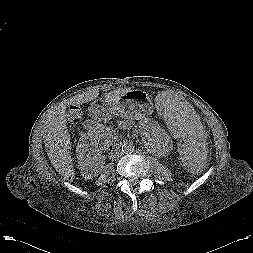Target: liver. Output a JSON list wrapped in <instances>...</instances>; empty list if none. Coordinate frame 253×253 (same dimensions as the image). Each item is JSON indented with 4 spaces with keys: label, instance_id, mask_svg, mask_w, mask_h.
Wrapping results in <instances>:
<instances>
[{
    "label": "liver",
    "instance_id": "obj_1",
    "mask_svg": "<svg viewBox=\"0 0 253 253\" xmlns=\"http://www.w3.org/2000/svg\"><path fill=\"white\" fill-rule=\"evenodd\" d=\"M131 90V87L118 88L106 93L104 99H119ZM98 95L99 91L93 89L70 98L67 103L68 105H80L96 99ZM68 105H59L48 116L44 127V141L47 147L48 157L55 170L65 179L72 182L75 178V171L70 153L71 139L66 124V108Z\"/></svg>",
    "mask_w": 253,
    "mask_h": 253
}]
</instances>
